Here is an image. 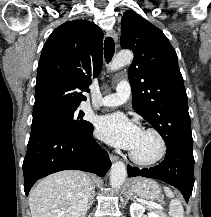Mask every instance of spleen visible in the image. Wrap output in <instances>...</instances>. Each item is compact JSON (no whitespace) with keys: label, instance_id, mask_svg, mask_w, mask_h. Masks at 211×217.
<instances>
[{"label":"spleen","instance_id":"3e777b00","mask_svg":"<svg viewBox=\"0 0 211 217\" xmlns=\"http://www.w3.org/2000/svg\"><path fill=\"white\" fill-rule=\"evenodd\" d=\"M164 191L167 197L171 199L170 204H169V210H170L172 217H184L183 206L179 200L174 198V194L172 190L168 187H164Z\"/></svg>","mask_w":211,"mask_h":217}]
</instances>
